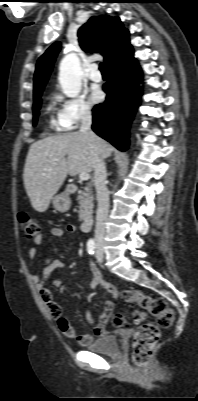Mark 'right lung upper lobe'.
Returning a JSON list of instances; mask_svg holds the SVG:
<instances>
[{"mask_svg":"<svg viewBox=\"0 0 198 401\" xmlns=\"http://www.w3.org/2000/svg\"><path fill=\"white\" fill-rule=\"evenodd\" d=\"M79 43L85 52L101 53L107 66L132 47L129 32L117 17L93 16L78 32ZM60 42L52 44L38 59L34 75V96L42 93L60 50Z\"/></svg>","mask_w":198,"mask_h":401,"instance_id":"right-lung-upper-lobe-1","label":"right lung upper lobe"}]
</instances>
